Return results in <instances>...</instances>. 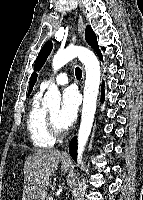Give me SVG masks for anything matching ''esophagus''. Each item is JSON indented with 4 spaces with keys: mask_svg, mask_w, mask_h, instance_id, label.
Returning a JSON list of instances; mask_svg holds the SVG:
<instances>
[{
    "mask_svg": "<svg viewBox=\"0 0 143 200\" xmlns=\"http://www.w3.org/2000/svg\"><path fill=\"white\" fill-rule=\"evenodd\" d=\"M77 30L80 37L84 36V21L80 13H78V20H77ZM84 79V75H83ZM64 161H69V155L65 152L62 156Z\"/></svg>",
    "mask_w": 143,
    "mask_h": 200,
    "instance_id": "1",
    "label": "esophagus"
}]
</instances>
